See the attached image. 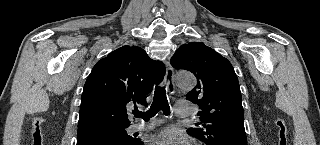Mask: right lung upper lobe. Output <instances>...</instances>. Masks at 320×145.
<instances>
[{
	"label": "right lung upper lobe",
	"instance_id": "1",
	"mask_svg": "<svg viewBox=\"0 0 320 145\" xmlns=\"http://www.w3.org/2000/svg\"><path fill=\"white\" fill-rule=\"evenodd\" d=\"M164 73V64L138 46H122L101 59L84 85L78 134L128 127L127 109L147 105V94Z\"/></svg>",
	"mask_w": 320,
	"mask_h": 145
}]
</instances>
